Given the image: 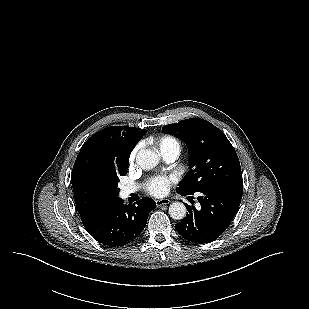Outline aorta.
<instances>
[{
    "instance_id": "1",
    "label": "aorta",
    "mask_w": 309,
    "mask_h": 309,
    "mask_svg": "<svg viewBox=\"0 0 309 309\" xmlns=\"http://www.w3.org/2000/svg\"><path fill=\"white\" fill-rule=\"evenodd\" d=\"M160 157L151 149H141L136 155V163L144 170H151L159 163ZM169 215L175 220H182L186 216L187 209L181 202H174L169 206Z\"/></svg>"
}]
</instances>
